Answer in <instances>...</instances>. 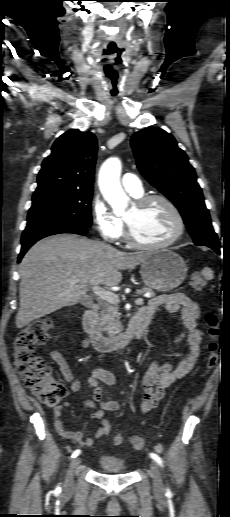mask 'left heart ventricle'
Listing matches in <instances>:
<instances>
[{"label":"left heart ventricle","mask_w":230,"mask_h":517,"mask_svg":"<svg viewBox=\"0 0 230 517\" xmlns=\"http://www.w3.org/2000/svg\"><path fill=\"white\" fill-rule=\"evenodd\" d=\"M134 236L144 243H160L176 230L174 216L161 201H153L139 208L134 205L124 216Z\"/></svg>","instance_id":"obj_1"}]
</instances>
